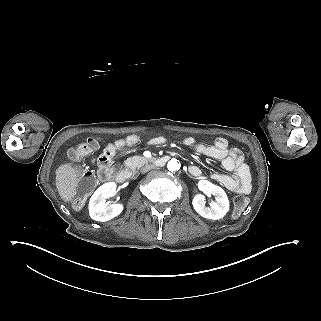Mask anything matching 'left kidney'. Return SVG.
I'll return each mask as SVG.
<instances>
[{
  "label": "left kidney",
  "instance_id": "5707ae66",
  "mask_svg": "<svg viewBox=\"0 0 321 321\" xmlns=\"http://www.w3.org/2000/svg\"><path fill=\"white\" fill-rule=\"evenodd\" d=\"M198 188L207 196L213 195L215 201L210 203V207H206L205 196L197 194L192 201L195 211L204 218L213 220L223 218L229 211V200L225 191L208 180H200Z\"/></svg>",
  "mask_w": 321,
  "mask_h": 321
}]
</instances>
